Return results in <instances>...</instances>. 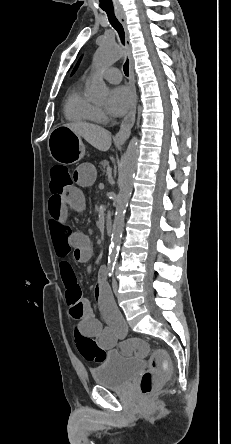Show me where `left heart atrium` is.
Segmentation results:
<instances>
[{
    "mask_svg": "<svg viewBox=\"0 0 231 444\" xmlns=\"http://www.w3.org/2000/svg\"><path fill=\"white\" fill-rule=\"evenodd\" d=\"M133 104V94L125 86L112 88L108 94L107 108L114 116L125 114Z\"/></svg>",
    "mask_w": 231,
    "mask_h": 444,
    "instance_id": "1",
    "label": "left heart atrium"
}]
</instances>
